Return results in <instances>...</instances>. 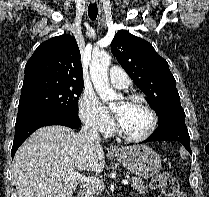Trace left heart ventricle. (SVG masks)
<instances>
[{
    "mask_svg": "<svg viewBox=\"0 0 209 197\" xmlns=\"http://www.w3.org/2000/svg\"><path fill=\"white\" fill-rule=\"evenodd\" d=\"M114 111L119 125L129 135L137 136L144 133L151 123L149 112L139 102L122 100Z\"/></svg>",
    "mask_w": 209,
    "mask_h": 197,
    "instance_id": "left-heart-ventricle-1",
    "label": "left heart ventricle"
}]
</instances>
